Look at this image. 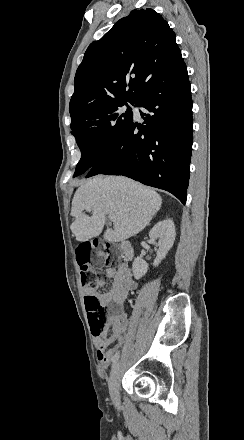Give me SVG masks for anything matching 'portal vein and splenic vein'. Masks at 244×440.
<instances>
[{"instance_id":"portal-vein-and-splenic-vein-1","label":"portal vein and splenic vein","mask_w":244,"mask_h":440,"mask_svg":"<svg viewBox=\"0 0 244 440\" xmlns=\"http://www.w3.org/2000/svg\"><path fill=\"white\" fill-rule=\"evenodd\" d=\"M108 218L110 222H116V216H113V214H109Z\"/></svg>"}]
</instances>
